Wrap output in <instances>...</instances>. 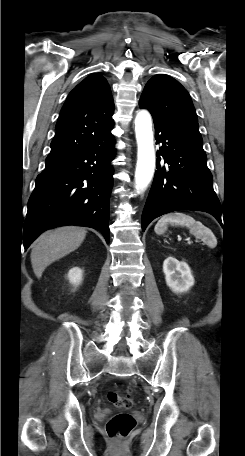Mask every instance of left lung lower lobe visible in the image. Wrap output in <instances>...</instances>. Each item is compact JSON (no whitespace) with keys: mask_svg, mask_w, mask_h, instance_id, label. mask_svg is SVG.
Segmentation results:
<instances>
[{"mask_svg":"<svg viewBox=\"0 0 245 456\" xmlns=\"http://www.w3.org/2000/svg\"><path fill=\"white\" fill-rule=\"evenodd\" d=\"M157 170L143 214L142 230L155 218L176 210H199L221 219V206L213 190L212 174L202 140L182 129L153 118ZM160 156L167 167L160 166Z\"/></svg>","mask_w":245,"mask_h":456,"instance_id":"left-lung-lower-lobe-1","label":"left lung lower lobe"}]
</instances>
